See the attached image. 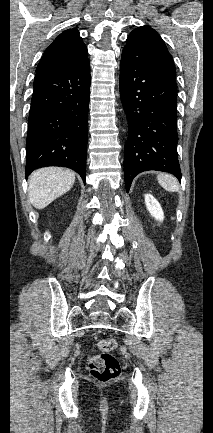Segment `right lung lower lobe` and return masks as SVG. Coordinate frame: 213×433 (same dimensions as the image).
Masks as SVG:
<instances>
[{
  "label": "right lung lower lobe",
  "instance_id": "1",
  "mask_svg": "<svg viewBox=\"0 0 213 433\" xmlns=\"http://www.w3.org/2000/svg\"><path fill=\"white\" fill-rule=\"evenodd\" d=\"M90 64L38 72L28 119L26 177L44 166H63L85 182Z\"/></svg>",
  "mask_w": 213,
  "mask_h": 433
}]
</instances>
